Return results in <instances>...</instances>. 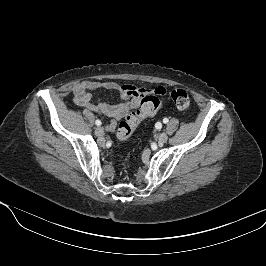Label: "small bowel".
Listing matches in <instances>:
<instances>
[{
  "label": "small bowel",
  "mask_w": 266,
  "mask_h": 266,
  "mask_svg": "<svg viewBox=\"0 0 266 266\" xmlns=\"http://www.w3.org/2000/svg\"><path fill=\"white\" fill-rule=\"evenodd\" d=\"M98 89L118 91L121 101L115 105L92 101V91ZM165 89L161 86L153 89L138 88L133 85L119 84L114 81H83L73 87L74 103L88 111L99 113L111 119L107 129L115 131L117 121L126 116L130 111L138 108L141 99L146 94L163 95Z\"/></svg>",
  "instance_id": "small-bowel-1"
}]
</instances>
